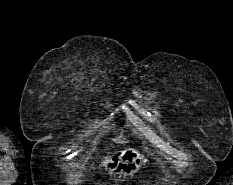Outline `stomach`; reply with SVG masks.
Wrapping results in <instances>:
<instances>
[{
  "instance_id": "0dacf381",
  "label": "stomach",
  "mask_w": 233,
  "mask_h": 185,
  "mask_svg": "<svg viewBox=\"0 0 233 185\" xmlns=\"http://www.w3.org/2000/svg\"><path fill=\"white\" fill-rule=\"evenodd\" d=\"M146 159L135 149L116 152L107 162L106 170L115 176H132L145 163Z\"/></svg>"
}]
</instances>
